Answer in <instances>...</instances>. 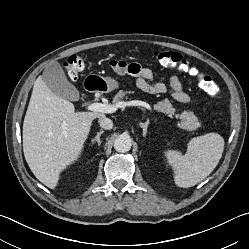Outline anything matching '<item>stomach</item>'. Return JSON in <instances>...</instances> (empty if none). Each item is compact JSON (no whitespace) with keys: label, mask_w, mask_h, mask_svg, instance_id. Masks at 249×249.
<instances>
[{"label":"stomach","mask_w":249,"mask_h":249,"mask_svg":"<svg viewBox=\"0 0 249 249\" xmlns=\"http://www.w3.org/2000/svg\"><path fill=\"white\" fill-rule=\"evenodd\" d=\"M99 80L100 90L103 93L111 92L119 87V83L111 77L93 76Z\"/></svg>","instance_id":"1"}]
</instances>
